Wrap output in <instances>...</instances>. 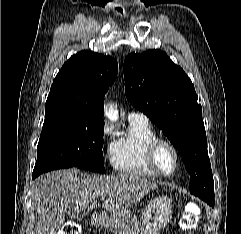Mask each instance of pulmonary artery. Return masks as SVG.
<instances>
[{
	"label": "pulmonary artery",
	"instance_id": "obj_1",
	"mask_svg": "<svg viewBox=\"0 0 241 234\" xmlns=\"http://www.w3.org/2000/svg\"><path fill=\"white\" fill-rule=\"evenodd\" d=\"M128 120L129 121H148V118L146 115H144L141 112H137V111H131L128 113Z\"/></svg>",
	"mask_w": 241,
	"mask_h": 234
}]
</instances>
